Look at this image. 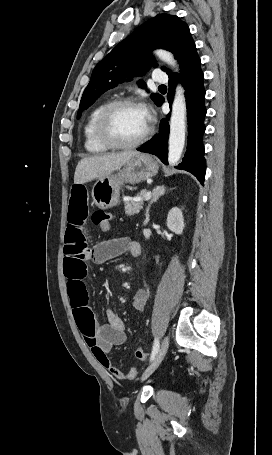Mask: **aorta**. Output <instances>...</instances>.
Instances as JSON below:
<instances>
[{
    "label": "aorta",
    "instance_id": "1",
    "mask_svg": "<svg viewBox=\"0 0 272 455\" xmlns=\"http://www.w3.org/2000/svg\"><path fill=\"white\" fill-rule=\"evenodd\" d=\"M155 54L159 59L171 66L174 71H178L177 63L174 56L165 50L158 49ZM186 102L183 87L178 84L175 90V96L172 104V113L170 119L169 151L168 162L175 165L181 158L186 133Z\"/></svg>",
    "mask_w": 272,
    "mask_h": 455
}]
</instances>
